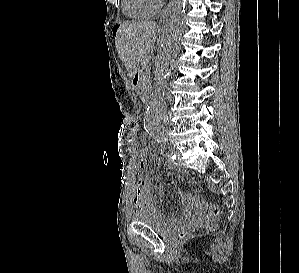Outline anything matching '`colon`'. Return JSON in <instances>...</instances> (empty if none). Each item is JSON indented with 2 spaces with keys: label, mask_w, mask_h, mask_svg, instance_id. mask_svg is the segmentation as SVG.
<instances>
[{
  "label": "colon",
  "mask_w": 299,
  "mask_h": 273,
  "mask_svg": "<svg viewBox=\"0 0 299 273\" xmlns=\"http://www.w3.org/2000/svg\"><path fill=\"white\" fill-rule=\"evenodd\" d=\"M140 142H141V145H142V149H148V142H147V138L146 137H141L140 138ZM219 215V208L215 205H210L207 207L206 209V217H205V220L207 222H211V221H214ZM187 234V232L185 231H182L180 233V237H185Z\"/></svg>",
  "instance_id": "5ec220e1"
}]
</instances>
